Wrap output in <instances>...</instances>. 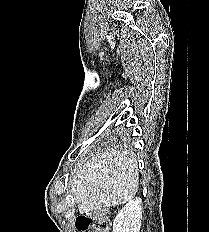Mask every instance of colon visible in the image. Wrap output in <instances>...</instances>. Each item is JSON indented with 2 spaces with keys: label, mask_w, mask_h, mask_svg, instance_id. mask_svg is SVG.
Listing matches in <instances>:
<instances>
[{
  "label": "colon",
  "mask_w": 209,
  "mask_h": 232,
  "mask_svg": "<svg viewBox=\"0 0 209 232\" xmlns=\"http://www.w3.org/2000/svg\"><path fill=\"white\" fill-rule=\"evenodd\" d=\"M76 227L80 232H110V212L95 210L77 217Z\"/></svg>",
  "instance_id": "5ec220e1"
}]
</instances>
